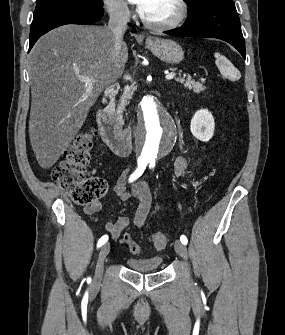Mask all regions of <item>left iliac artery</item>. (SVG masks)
<instances>
[{
  "label": "left iliac artery",
  "mask_w": 285,
  "mask_h": 335,
  "mask_svg": "<svg viewBox=\"0 0 285 335\" xmlns=\"http://www.w3.org/2000/svg\"><path fill=\"white\" fill-rule=\"evenodd\" d=\"M149 167L150 168H153L154 166H155V160L153 159V160H149ZM180 240H181V242L183 243V244H187V242H188V240H187V237L186 236H184V235H182L181 237H180Z\"/></svg>",
  "instance_id": "left-iliac-artery-1"
}]
</instances>
